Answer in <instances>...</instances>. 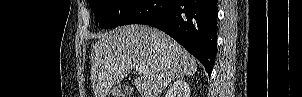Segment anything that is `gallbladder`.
Returning <instances> with one entry per match:
<instances>
[{"label": "gallbladder", "mask_w": 302, "mask_h": 97, "mask_svg": "<svg viewBox=\"0 0 302 97\" xmlns=\"http://www.w3.org/2000/svg\"><path fill=\"white\" fill-rule=\"evenodd\" d=\"M131 93H132V89L127 85L114 86L113 89L110 91V94L116 97H126Z\"/></svg>", "instance_id": "obj_1"}]
</instances>
